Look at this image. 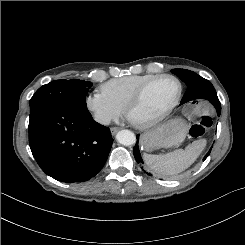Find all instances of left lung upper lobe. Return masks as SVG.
<instances>
[{
	"label": "left lung upper lobe",
	"instance_id": "left-lung-upper-lobe-1",
	"mask_svg": "<svg viewBox=\"0 0 245 245\" xmlns=\"http://www.w3.org/2000/svg\"><path fill=\"white\" fill-rule=\"evenodd\" d=\"M172 73L180 77L188 86L181 104L195 99H211L217 97L213 85L193 71L186 69H172Z\"/></svg>",
	"mask_w": 245,
	"mask_h": 245
}]
</instances>
